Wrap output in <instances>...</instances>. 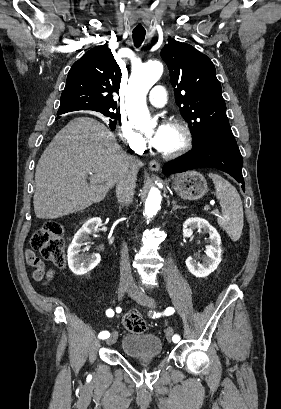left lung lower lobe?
Instances as JSON below:
<instances>
[{
	"instance_id": "0a47b994",
	"label": "left lung lower lobe",
	"mask_w": 281,
	"mask_h": 409,
	"mask_svg": "<svg viewBox=\"0 0 281 409\" xmlns=\"http://www.w3.org/2000/svg\"><path fill=\"white\" fill-rule=\"evenodd\" d=\"M242 164L243 159L237 145L208 141L194 145L188 154L164 165L163 173L169 175L194 168L214 167L230 174L242 184L245 191Z\"/></svg>"
}]
</instances>
